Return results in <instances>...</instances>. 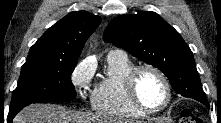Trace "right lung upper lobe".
<instances>
[{
	"mask_svg": "<svg viewBox=\"0 0 221 123\" xmlns=\"http://www.w3.org/2000/svg\"><path fill=\"white\" fill-rule=\"evenodd\" d=\"M100 22L99 16L87 11H73L38 39L28 57L78 59L86 40Z\"/></svg>",
	"mask_w": 221,
	"mask_h": 123,
	"instance_id": "cb5924a9",
	"label": "right lung upper lobe"
}]
</instances>
